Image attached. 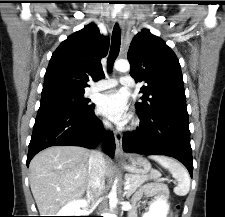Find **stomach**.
I'll return each mask as SVG.
<instances>
[{"mask_svg": "<svg viewBox=\"0 0 225 217\" xmlns=\"http://www.w3.org/2000/svg\"><path fill=\"white\" fill-rule=\"evenodd\" d=\"M122 165L127 172L137 175L147 174L151 170V164L148 160L136 154L126 155Z\"/></svg>", "mask_w": 225, "mask_h": 217, "instance_id": "1", "label": "stomach"}]
</instances>
